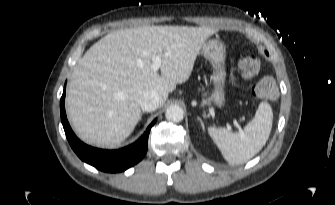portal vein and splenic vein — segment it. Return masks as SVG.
Returning a JSON list of instances; mask_svg holds the SVG:
<instances>
[{"label":"portal vein and splenic vein","mask_w":335,"mask_h":205,"mask_svg":"<svg viewBox=\"0 0 335 205\" xmlns=\"http://www.w3.org/2000/svg\"><path fill=\"white\" fill-rule=\"evenodd\" d=\"M161 66V55L157 54L154 58H153V64H152V69L153 71H158V69Z\"/></svg>","instance_id":"1"}]
</instances>
